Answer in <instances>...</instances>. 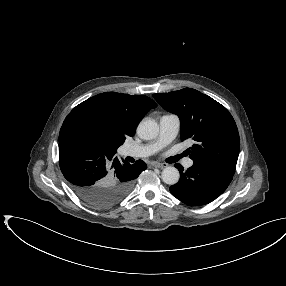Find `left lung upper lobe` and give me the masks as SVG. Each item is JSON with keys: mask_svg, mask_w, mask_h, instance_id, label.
Wrapping results in <instances>:
<instances>
[{"mask_svg": "<svg viewBox=\"0 0 286 286\" xmlns=\"http://www.w3.org/2000/svg\"><path fill=\"white\" fill-rule=\"evenodd\" d=\"M153 97L165 110L179 116L181 140L194 141L189 154L195 165L234 175L240 139L236 123L224 106L191 88Z\"/></svg>", "mask_w": 286, "mask_h": 286, "instance_id": "obj_1", "label": "left lung upper lobe"}]
</instances>
